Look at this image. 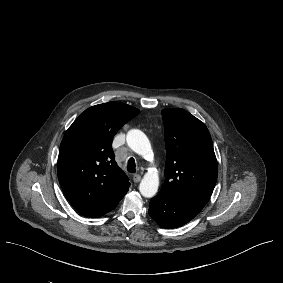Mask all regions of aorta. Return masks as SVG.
<instances>
[{
	"label": "aorta",
	"mask_w": 283,
	"mask_h": 283,
	"mask_svg": "<svg viewBox=\"0 0 283 283\" xmlns=\"http://www.w3.org/2000/svg\"><path fill=\"white\" fill-rule=\"evenodd\" d=\"M128 146L137 154L146 157L151 150V144L147 136L138 129H132L127 133ZM159 187V177L156 172H148L144 175L139 185L142 196L151 198L155 196Z\"/></svg>",
	"instance_id": "1"
}]
</instances>
